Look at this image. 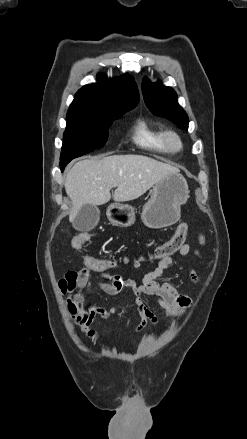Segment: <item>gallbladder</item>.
<instances>
[{
    "label": "gallbladder",
    "instance_id": "1",
    "mask_svg": "<svg viewBox=\"0 0 247 439\" xmlns=\"http://www.w3.org/2000/svg\"><path fill=\"white\" fill-rule=\"evenodd\" d=\"M100 211L97 206L84 205L73 220V227L78 231H90L98 223Z\"/></svg>",
    "mask_w": 247,
    "mask_h": 439
}]
</instances>
